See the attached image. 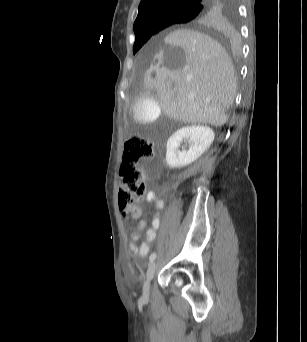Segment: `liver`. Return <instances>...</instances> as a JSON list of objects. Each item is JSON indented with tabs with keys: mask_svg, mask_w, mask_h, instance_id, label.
<instances>
[{
	"mask_svg": "<svg viewBox=\"0 0 307 342\" xmlns=\"http://www.w3.org/2000/svg\"><path fill=\"white\" fill-rule=\"evenodd\" d=\"M151 74H156L155 78ZM144 86L158 90L159 106L167 118L224 126L237 84L221 44L195 30H174L164 44H157V56H151Z\"/></svg>",
	"mask_w": 307,
	"mask_h": 342,
	"instance_id": "1",
	"label": "liver"
}]
</instances>
